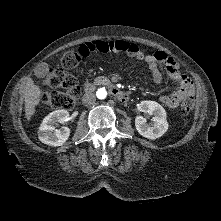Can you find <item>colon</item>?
I'll list each match as a JSON object with an SVG mask.
<instances>
[{
	"mask_svg": "<svg viewBox=\"0 0 221 221\" xmlns=\"http://www.w3.org/2000/svg\"><path fill=\"white\" fill-rule=\"evenodd\" d=\"M82 55L78 51H67L61 60L63 69H73L79 65ZM63 69L49 67L44 72L43 82L46 86L54 89L42 96L43 103L51 109H70L80 96V87L75 76L66 73ZM62 89V90H56ZM194 102L187 98L183 102V111H192Z\"/></svg>",
	"mask_w": 221,
	"mask_h": 221,
	"instance_id": "colon-1",
	"label": "colon"
}]
</instances>
